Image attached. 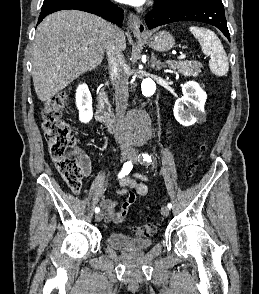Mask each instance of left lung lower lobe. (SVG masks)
I'll list each match as a JSON object with an SVG mask.
<instances>
[{"label": "left lung lower lobe", "instance_id": "obj_1", "mask_svg": "<svg viewBox=\"0 0 259 294\" xmlns=\"http://www.w3.org/2000/svg\"><path fill=\"white\" fill-rule=\"evenodd\" d=\"M163 3L155 0L154 9L146 15L149 29L177 21H199L216 26L230 40L221 0H186L169 7Z\"/></svg>", "mask_w": 259, "mask_h": 294}]
</instances>
